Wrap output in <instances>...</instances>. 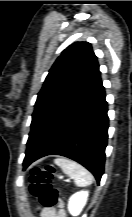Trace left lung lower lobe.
Here are the masks:
<instances>
[{"label": "left lung lower lobe", "mask_w": 132, "mask_h": 217, "mask_svg": "<svg viewBox=\"0 0 132 217\" xmlns=\"http://www.w3.org/2000/svg\"><path fill=\"white\" fill-rule=\"evenodd\" d=\"M107 130V102L99 72L26 153L24 169L41 157L62 155L86 167L99 184L104 170Z\"/></svg>", "instance_id": "0a47b994"}]
</instances>
